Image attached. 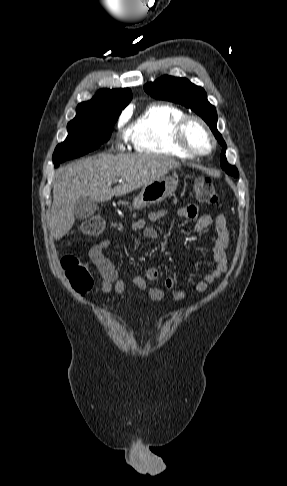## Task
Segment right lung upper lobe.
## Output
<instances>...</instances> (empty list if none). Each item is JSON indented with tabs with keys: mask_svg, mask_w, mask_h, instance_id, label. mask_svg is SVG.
<instances>
[{
	"mask_svg": "<svg viewBox=\"0 0 287 486\" xmlns=\"http://www.w3.org/2000/svg\"><path fill=\"white\" fill-rule=\"evenodd\" d=\"M131 99L132 92L129 88L101 89L90 101L80 103L77 110L102 109L121 113V110L128 105Z\"/></svg>",
	"mask_w": 287,
	"mask_h": 486,
	"instance_id": "right-lung-upper-lobe-1",
	"label": "right lung upper lobe"
}]
</instances>
